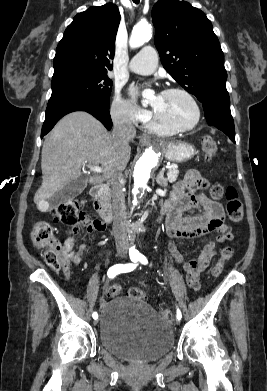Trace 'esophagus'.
Returning <instances> with one entry per match:
<instances>
[{"mask_svg": "<svg viewBox=\"0 0 267 391\" xmlns=\"http://www.w3.org/2000/svg\"><path fill=\"white\" fill-rule=\"evenodd\" d=\"M151 142V139L148 135L146 134H143L141 137H140V143L142 145H149Z\"/></svg>", "mask_w": 267, "mask_h": 391, "instance_id": "1", "label": "esophagus"}]
</instances>
